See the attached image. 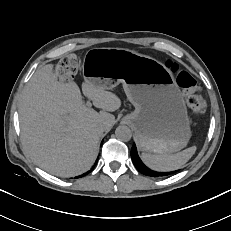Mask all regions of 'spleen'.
Here are the masks:
<instances>
[{"instance_id": "3e777b00", "label": "spleen", "mask_w": 231, "mask_h": 231, "mask_svg": "<svg viewBox=\"0 0 231 231\" xmlns=\"http://www.w3.org/2000/svg\"><path fill=\"white\" fill-rule=\"evenodd\" d=\"M196 151V146L189 147L176 154L142 153V160L146 166L155 171H172L180 169Z\"/></svg>"}]
</instances>
